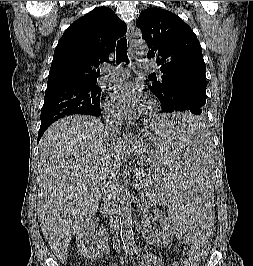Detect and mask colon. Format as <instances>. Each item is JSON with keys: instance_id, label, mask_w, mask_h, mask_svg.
Segmentation results:
<instances>
[{"instance_id": "5ec220e1", "label": "colon", "mask_w": 253, "mask_h": 266, "mask_svg": "<svg viewBox=\"0 0 253 266\" xmlns=\"http://www.w3.org/2000/svg\"><path fill=\"white\" fill-rule=\"evenodd\" d=\"M209 250V242L206 248H190L183 261L184 266H199Z\"/></svg>"}]
</instances>
